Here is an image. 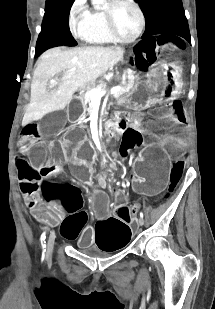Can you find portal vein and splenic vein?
I'll list each match as a JSON object with an SVG mask.
<instances>
[{
  "instance_id": "portal-vein-and-splenic-vein-1",
  "label": "portal vein and splenic vein",
  "mask_w": 215,
  "mask_h": 309,
  "mask_svg": "<svg viewBox=\"0 0 215 309\" xmlns=\"http://www.w3.org/2000/svg\"><path fill=\"white\" fill-rule=\"evenodd\" d=\"M107 90L105 88H93V90H89V92H86V94H90V96H104L106 94ZM110 94H122L124 92L122 86H113V88H110L109 90Z\"/></svg>"
}]
</instances>
